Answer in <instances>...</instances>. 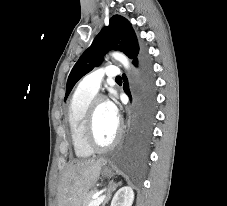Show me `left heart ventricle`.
Wrapping results in <instances>:
<instances>
[{"label": "left heart ventricle", "instance_id": "b2bd125f", "mask_svg": "<svg viewBox=\"0 0 227 206\" xmlns=\"http://www.w3.org/2000/svg\"><path fill=\"white\" fill-rule=\"evenodd\" d=\"M117 123L109 116L106 103L102 102L98 105L95 117V136L97 141L106 145L110 143L115 135Z\"/></svg>", "mask_w": 227, "mask_h": 206}]
</instances>
